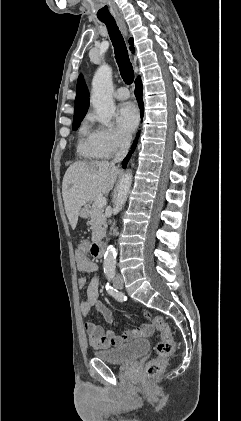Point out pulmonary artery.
Wrapping results in <instances>:
<instances>
[{"instance_id":"pulmonary-artery-1","label":"pulmonary artery","mask_w":241,"mask_h":421,"mask_svg":"<svg viewBox=\"0 0 241 421\" xmlns=\"http://www.w3.org/2000/svg\"><path fill=\"white\" fill-rule=\"evenodd\" d=\"M129 96V91L125 87L118 88L114 93V97L118 100H126L129 98Z\"/></svg>"}]
</instances>
